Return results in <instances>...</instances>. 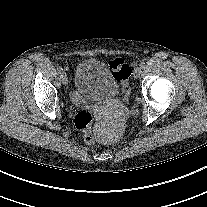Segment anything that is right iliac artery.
<instances>
[{"label": "right iliac artery", "instance_id": "82829eb1", "mask_svg": "<svg viewBox=\"0 0 207 207\" xmlns=\"http://www.w3.org/2000/svg\"><path fill=\"white\" fill-rule=\"evenodd\" d=\"M58 72H59L60 74L63 73V72H64L63 68H62V67H59V68H58Z\"/></svg>", "mask_w": 207, "mask_h": 207}]
</instances>
